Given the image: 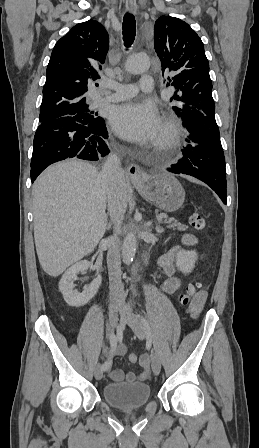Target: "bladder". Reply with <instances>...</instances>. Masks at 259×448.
<instances>
[{"label": "bladder", "mask_w": 259, "mask_h": 448, "mask_svg": "<svg viewBox=\"0 0 259 448\" xmlns=\"http://www.w3.org/2000/svg\"><path fill=\"white\" fill-rule=\"evenodd\" d=\"M105 400L121 410H133L145 406L151 395L146 383H109L103 389Z\"/></svg>", "instance_id": "1"}]
</instances>
